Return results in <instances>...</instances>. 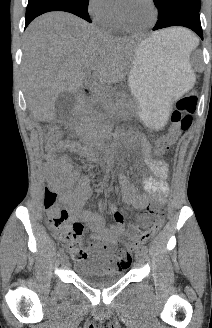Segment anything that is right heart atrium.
<instances>
[{
  "label": "right heart atrium",
  "mask_w": 212,
  "mask_h": 328,
  "mask_svg": "<svg viewBox=\"0 0 212 328\" xmlns=\"http://www.w3.org/2000/svg\"><path fill=\"white\" fill-rule=\"evenodd\" d=\"M87 12L98 23L114 15L115 6L112 0H88Z\"/></svg>",
  "instance_id": "d8ad5b80"
}]
</instances>
